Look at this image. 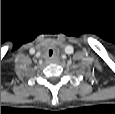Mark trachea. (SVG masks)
<instances>
[{
  "label": "trachea",
  "mask_w": 115,
  "mask_h": 114,
  "mask_svg": "<svg viewBox=\"0 0 115 114\" xmlns=\"http://www.w3.org/2000/svg\"><path fill=\"white\" fill-rule=\"evenodd\" d=\"M52 54H53V51L50 49L49 50V56H52Z\"/></svg>",
  "instance_id": "1"
}]
</instances>
